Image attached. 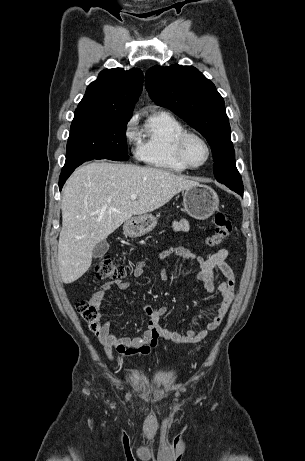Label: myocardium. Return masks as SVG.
Instances as JSON below:
<instances>
[{
  "mask_svg": "<svg viewBox=\"0 0 305 461\" xmlns=\"http://www.w3.org/2000/svg\"><path fill=\"white\" fill-rule=\"evenodd\" d=\"M190 138L198 139L199 141H201L203 143V145L206 148L207 156H206L205 160L201 164H197V165L193 164V163L190 162V160L187 157L186 144H187V141ZM176 152H177V155H178L179 159L181 160V162L185 166H187L188 168H191V169H197V168H200V167L204 166L205 164H207V162L210 160L211 154H212L211 146H210L209 142L206 140V138L203 137L201 134H199L197 132L189 131V130L184 131L178 137L177 142H176Z\"/></svg>",
  "mask_w": 305,
  "mask_h": 461,
  "instance_id": "1",
  "label": "myocardium"
}]
</instances>
